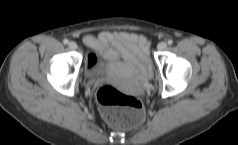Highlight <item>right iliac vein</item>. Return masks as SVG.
Segmentation results:
<instances>
[{
    "instance_id": "right-iliac-vein-1",
    "label": "right iliac vein",
    "mask_w": 238,
    "mask_h": 145,
    "mask_svg": "<svg viewBox=\"0 0 238 145\" xmlns=\"http://www.w3.org/2000/svg\"><path fill=\"white\" fill-rule=\"evenodd\" d=\"M69 48L72 49V50H75V49L77 48L76 42L71 41V42L69 43Z\"/></svg>"
}]
</instances>
